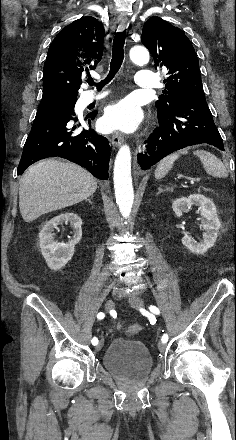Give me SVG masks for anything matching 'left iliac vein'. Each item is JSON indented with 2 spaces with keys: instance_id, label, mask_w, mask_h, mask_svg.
<instances>
[{
  "instance_id": "left-iliac-vein-1",
  "label": "left iliac vein",
  "mask_w": 236,
  "mask_h": 440,
  "mask_svg": "<svg viewBox=\"0 0 236 440\" xmlns=\"http://www.w3.org/2000/svg\"><path fill=\"white\" fill-rule=\"evenodd\" d=\"M129 304H130L133 308H136V309H142V308L144 307V302H143V300H142L140 297H138V296H132V297L129 299ZM158 349H159L160 351H164V350L166 349V344H165L164 342H160V343L158 344Z\"/></svg>"
}]
</instances>
